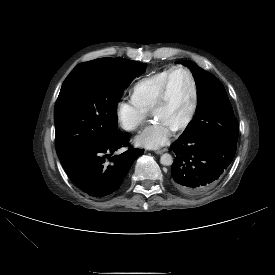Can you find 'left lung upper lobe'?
I'll return each mask as SVG.
<instances>
[{
	"label": "left lung upper lobe",
	"mask_w": 275,
	"mask_h": 275,
	"mask_svg": "<svg viewBox=\"0 0 275 275\" xmlns=\"http://www.w3.org/2000/svg\"><path fill=\"white\" fill-rule=\"evenodd\" d=\"M196 79L198 104L196 117L190 121L179 138L226 134L237 141L238 123L222 83L211 73L194 63L181 61Z\"/></svg>",
	"instance_id": "obj_1"
}]
</instances>
